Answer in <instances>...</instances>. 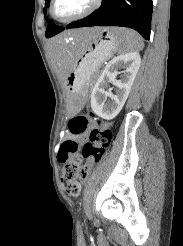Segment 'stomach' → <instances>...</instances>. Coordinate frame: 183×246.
<instances>
[{
    "label": "stomach",
    "instance_id": "1",
    "mask_svg": "<svg viewBox=\"0 0 183 246\" xmlns=\"http://www.w3.org/2000/svg\"><path fill=\"white\" fill-rule=\"evenodd\" d=\"M121 31V28H99L91 40L63 41L65 48L74 56L72 70L64 80L69 114H75L81 109L88 83L101 63L111 57L122 43Z\"/></svg>",
    "mask_w": 183,
    "mask_h": 246
}]
</instances>
